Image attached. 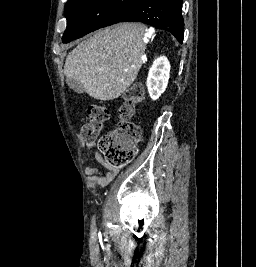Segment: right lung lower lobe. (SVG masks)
<instances>
[{
    "mask_svg": "<svg viewBox=\"0 0 256 267\" xmlns=\"http://www.w3.org/2000/svg\"><path fill=\"white\" fill-rule=\"evenodd\" d=\"M119 22H143L170 32L180 43L183 41L182 0H138L108 26Z\"/></svg>",
    "mask_w": 256,
    "mask_h": 267,
    "instance_id": "obj_1",
    "label": "right lung lower lobe"
}]
</instances>
